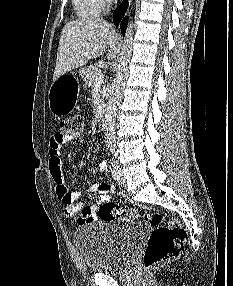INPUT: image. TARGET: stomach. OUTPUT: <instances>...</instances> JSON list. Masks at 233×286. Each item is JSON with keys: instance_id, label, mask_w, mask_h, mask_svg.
I'll list each match as a JSON object with an SVG mask.
<instances>
[{"instance_id": "obj_1", "label": "stomach", "mask_w": 233, "mask_h": 286, "mask_svg": "<svg viewBox=\"0 0 233 286\" xmlns=\"http://www.w3.org/2000/svg\"><path fill=\"white\" fill-rule=\"evenodd\" d=\"M58 77L48 92L49 109L55 117H62L72 111L77 101V91L65 80Z\"/></svg>"}]
</instances>
